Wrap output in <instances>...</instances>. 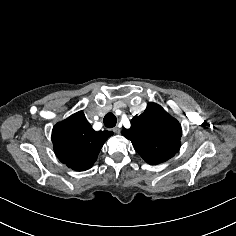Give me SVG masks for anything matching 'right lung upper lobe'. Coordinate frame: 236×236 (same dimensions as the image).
I'll use <instances>...</instances> for the list:
<instances>
[{"label":"right lung upper lobe","mask_w":236,"mask_h":236,"mask_svg":"<svg viewBox=\"0 0 236 236\" xmlns=\"http://www.w3.org/2000/svg\"><path fill=\"white\" fill-rule=\"evenodd\" d=\"M112 131L95 132L82 111L57 123L52 142L58 159L76 171L91 168Z\"/></svg>","instance_id":"right-lung-upper-lobe-1"}]
</instances>
